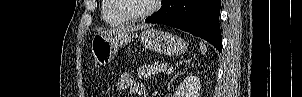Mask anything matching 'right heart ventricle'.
Here are the masks:
<instances>
[{
    "label": "right heart ventricle",
    "mask_w": 302,
    "mask_h": 97,
    "mask_svg": "<svg viewBox=\"0 0 302 97\" xmlns=\"http://www.w3.org/2000/svg\"><path fill=\"white\" fill-rule=\"evenodd\" d=\"M101 18L106 25L112 27L122 26L128 22V20L116 12L113 0L102 1Z\"/></svg>",
    "instance_id": "obj_1"
}]
</instances>
